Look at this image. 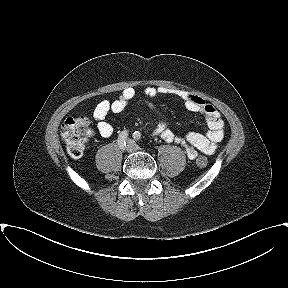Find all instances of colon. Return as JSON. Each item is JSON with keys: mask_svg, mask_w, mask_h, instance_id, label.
Instances as JSON below:
<instances>
[{"mask_svg": "<svg viewBox=\"0 0 288 288\" xmlns=\"http://www.w3.org/2000/svg\"><path fill=\"white\" fill-rule=\"evenodd\" d=\"M90 127V119L85 116L69 117L61 126V136L66 144L68 154L72 158H80L84 152ZM198 167L204 168L208 165L205 156L196 159Z\"/></svg>", "mask_w": 288, "mask_h": 288, "instance_id": "colon-1", "label": "colon"}]
</instances>
